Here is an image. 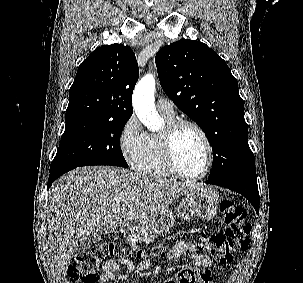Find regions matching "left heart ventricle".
I'll list each match as a JSON object with an SVG mask.
<instances>
[{
  "instance_id": "obj_1",
  "label": "left heart ventricle",
  "mask_w": 303,
  "mask_h": 283,
  "mask_svg": "<svg viewBox=\"0 0 303 283\" xmlns=\"http://www.w3.org/2000/svg\"><path fill=\"white\" fill-rule=\"evenodd\" d=\"M175 155L180 170L187 175H198L206 166L205 145L192 128L185 127L180 130L175 141Z\"/></svg>"
}]
</instances>
